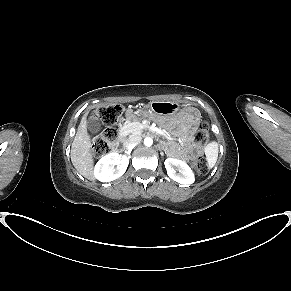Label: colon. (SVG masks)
Returning a JSON list of instances; mask_svg holds the SVG:
<instances>
[{
	"instance_id": "obj_1",
	"label": "colon",
	"mask_w": 291,
	"mask_h": 291,
	"mask_svg": "<svg viewBox=\"0 0 291 291\" xmlns=\"http://www.w3.org/2000/svg\"><path fill=\"white\" fill-rule=\"evenodd\" d=\"M97 119L106 126V129L93 137L92 152L100 157L111 153L119 143V134L116 126L124 119V108L120 105L101 107L96 112ZM209 139V128L206 122H201L195 133L194 142L198 146L206 144ZM194 170L199 174L207 171V162L203 155H198L193 162Z\"/></svg>"
}]
</instances>
